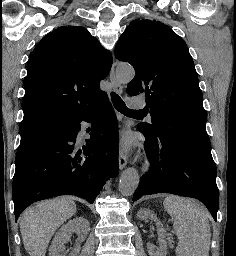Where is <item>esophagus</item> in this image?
I'll use <instances>...</instances> for the list:
<instances>
[{
    "label": "esophagus",
    "mask_w": 236,
    "mask_h": 256,
    "mask_svg": "<svg viewBox=\"0 0 236 256\" xmlns=\"http://www.w3.org/2000/svg\"><path fill=\"white\" fill-rule=\"evenodd\" d=\"M109 78H110V82L113 86V89L116 91V93L122 94L123 88H122L121 84L119 83V81L117 80L116 75H115V63H113ZM126 164H127V158H126L123 150L121 149L119 151V168H120V170H122L126 166Z\"/></svg>",
    "instance_id": "1"
}]
</instances>
